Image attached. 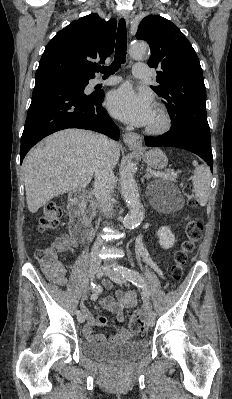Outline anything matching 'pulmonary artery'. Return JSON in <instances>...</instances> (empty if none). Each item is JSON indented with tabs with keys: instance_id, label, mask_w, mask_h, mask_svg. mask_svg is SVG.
Here are the masks:
<instances>
[{
	"instance_id": "obj_1",
	"label": "pulmonary artery",
	"mask_w": 232,
	"mask_h": 399,
	"mask_svg": "<svg viewBox=\"0 0 232 399\" xmlns=\"http://www.w3.org/2000/svg\"><path fill=\"white\" fill-rule=\"evenodd\" d=\"M134 68L135 69L132 71L133 76H137L138 80H145L146 76L149 74L148 69H146L147 65L145 63H135ZM118 83V77H109L108 81H101L99 78H95L92 81V85L102 84L104 86H111Z\"/></svg>"
}]
</instances>
